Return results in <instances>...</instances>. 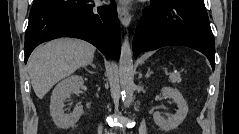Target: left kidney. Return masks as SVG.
<instances>
[{"label":"left kidney","mask_w":239,"mask_h":134,"mask_svg":"<svg viewBox=\"0 0 239 134\" xmlns=\"http://www.w3.org/2000/svg\"><path fill=\"white\" fill-rule=\"evenodd\" d=\"M161 93L164 97L173 99V101L177 104L178 110L173 116L167 119L162 117L159 112H155L153 114V119L155 124L158 125L160 129L165 131L173 130L177 128L186 118L188 105L180 91L177 89L164 87L162 88Z\"/></svg>","instance_id":"5707ae66"}]
</instances>
